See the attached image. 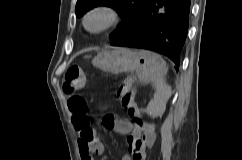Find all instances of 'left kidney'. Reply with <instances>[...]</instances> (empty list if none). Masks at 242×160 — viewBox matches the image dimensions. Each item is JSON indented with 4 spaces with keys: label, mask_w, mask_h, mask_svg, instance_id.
I'll list each match as a JSON object with an SVG mask.
<instances>
[{
    "label": "left kidney",
    "mask_w": 242,
    "mask_h": 160,
    "mask_svg": "<svg viewBox=\"0 0 242 160\" xmlns=\"http://www.w3.org/2000/svg\"><path fill=\"white\" fill-rule=\"evenodd\" d=\"M165 103H166V100L160 105V108H159V113H161V112H163L164 111V109H165ZM150 105H151V103H150ZM152 113H153V111H152Z\"/></svg>",
    "instance_id": "obj_1"
}]
</instances>
